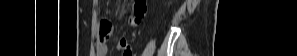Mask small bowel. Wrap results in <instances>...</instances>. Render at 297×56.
<instances>
[{
	"mask_svg": "<svg viewBox=\"0 0 297 56\" xmlns=\"http://www.w3.org/2000/svg\"><path fill=\"white\" fill-rule=\"evenodd\" d=\"M129 36H121L118 49L123 50L124 56H131ZM96 54L98 56H105L107 54V46L104 43H99L96 47Z\"/></svg>",
	"mask_w": 297,
	"mask_h": 56,
	"instance_id": "c3829d8e",
	"label": "small bowel"
}]
</instances>
